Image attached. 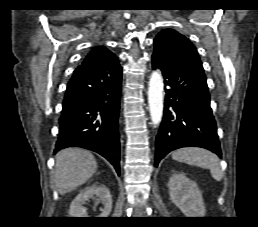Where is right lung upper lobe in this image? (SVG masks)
I'll use <instances>...</instances> for the list:
<instances>
[{
    "label": "right lung upper lobe",
    "instance_id": "cb5924a9",
    "mask_svg": "<svg viewBox=\"0 0 258 227\" xmlns=\"http://www.w3.org/2000/svg\"><path fill=\"white\" fill-rule=\"evenodd\" d=\"M112 54L113 53H111L109 50H107L103 46L96 47L88 53V55L86 56V58L84 59V61L82 62V64L78 68H81V67L89 64L90 62H92L95 59L108 57Z\"/></svg>",
    "mask_w": 258,
    "mask_h": 227
}]
</instances>
